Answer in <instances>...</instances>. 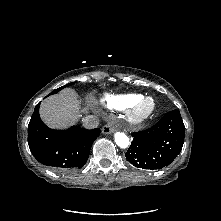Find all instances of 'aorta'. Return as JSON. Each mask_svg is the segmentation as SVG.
<instances>
[{
    "mask_svg": "<svg viewBox=\"0 0 221 221\" xmlns=\"http://www.w3.org/2000/svg\"><path fill=\"white\" fill-rule=\"evenodd\" d=\"M114 139L116 144L120 147V148H127L129 146V138L125 133L122 132H117L114 135Z\"/></svg>",
    "mask_w": 221,
    "mask_h": 221,
    "instance_id": "1",
    "label": "aorta"
}]
</instances>
